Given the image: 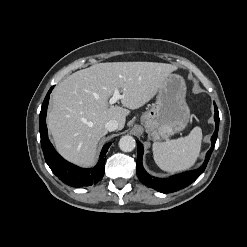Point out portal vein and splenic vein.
Wrapping results in <instances>:
<instances>
[{
  "mask_svg": "<svg viewBox=\"0 0 247 247\" xmlns=\"http://www.w3.org/2000/svg\"><path fill=\"white\" fill-rule=\"evenodd\" d=\"M123 96L120 94L118 89L114 90V93L112 95V97L109 100V104L113 105L114 103H116L117 101H119Z\"/></svg>",
  "mask_w": 247,
  "mask_h": 247,
  "instance_id": "obj_1",
  "label": "portal vein and splenic vein"
}]
</instances>
